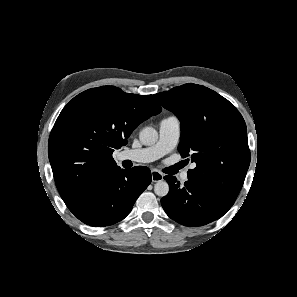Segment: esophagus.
<instances>
[{
	"mask_svg": "<svg viewBox=\"0 0 297 297\" xmlns=\"http://www.w3.org/2000/svg\"><path fill=\"white\" fill-rule=\"evenodd\" d=\"M151 178L153 182H159L163 180V175L157 170H152Z\"/></svg>",
	"mask_w": 297,
	"mask_h": 297,
	"instance_id": "esophagus-1",
	"label": "esophagus"
}]
</instances>
